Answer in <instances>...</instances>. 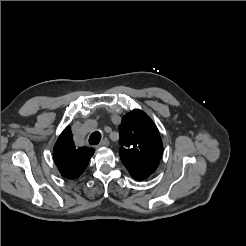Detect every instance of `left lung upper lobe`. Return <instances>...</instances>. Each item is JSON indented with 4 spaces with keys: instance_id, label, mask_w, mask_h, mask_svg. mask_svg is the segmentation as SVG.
I'll return each instance as SVG.
<instances>
[{
    "instance_id": "5c2ea615",
    "label": "left lung upper lobe",
    "mask_w": 246,
    "mask_h": 246,
    "mask_svg": "<svg viewBox=\"0 0 246 246\" xmlns=\"http://www.w3.org/2000/svg\"><path fill=\"white\" fill-rule=\"evenodd\" d=\"M120 158L136 180L147 179L157 169L163 145L153 121L141 110L122 118L119 127Z\"/></svg>"
}]
</instances>
